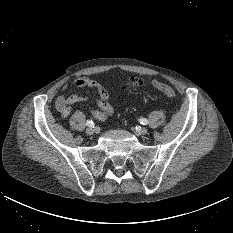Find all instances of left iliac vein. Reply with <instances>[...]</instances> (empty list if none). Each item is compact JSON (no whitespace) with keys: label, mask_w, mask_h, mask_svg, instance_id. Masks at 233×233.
I'll use <instances>...</instances> for the list:
<instances>
[{"label":"left iliac vein","mask_w":233,"mask_h":233,"mask_svg":"<svg viewBox=\"0 0 233 233\" xmlns=\"http://www.w3.org/2000/svg\"><path fill=\"white\" fill-rule=\"evenodd\" d=\"M138 133L141 135H146L148 133V130L143 127V128L138 129Z\"/></svg>","instance_id":"obj_1"}]
</instances>
